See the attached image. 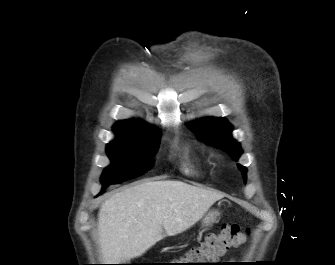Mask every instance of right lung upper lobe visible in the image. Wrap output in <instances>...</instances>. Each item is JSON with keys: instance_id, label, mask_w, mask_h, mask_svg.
<instances>
[{"instance_id": "1", "label": "right lung upper lobe", "mask_w": 335, "mask_h": 265, "mask_svg": "<svg viewBox=\"0 0 335 265\" xmlns=\"http://www.w3.org/2000/svg\"><path fill=\"white\" fill-rule=\"evenodd\" d=\"M114 129L116 132L123 131V130H152V128L147 125L146 123L140 120H130V121H121L118 122ZM153 131V130H152Z\"/></svg>"}]
</instances>
